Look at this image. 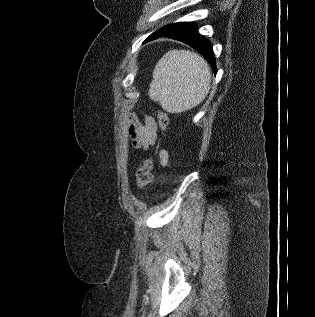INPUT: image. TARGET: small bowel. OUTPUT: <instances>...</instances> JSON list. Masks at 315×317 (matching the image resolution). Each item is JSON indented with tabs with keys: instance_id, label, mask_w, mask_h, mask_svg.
<instances>
[{
	"instance_id": "small-bowel-1",
	"label": "small bowel",
	"mask_w": 315,
	"mask_h": 317,
	"mask_svg": "<svg viewBox=\"0 0 315 317\" xmlns=\"http://www.w3.org/2000/svg\"><path fill=\"white\" fill-rule=\"evenodd\" d=\"M141 122L136 114H130L125 122V135L135 149L149 150L154 147L158 140V128L153 117L144 114ZM160 163L166 166L168 153L164 149L159 152Z\"/></svg>"
}]
</instances>
